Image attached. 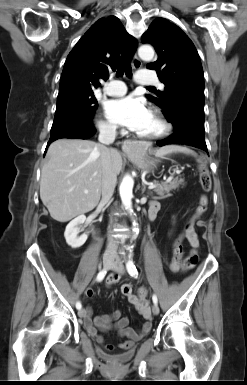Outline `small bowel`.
<instances>
[{
  "label": "small bowel",
  "mask_w": 247,
  "mask_h": 385,
  "mask_svg": "<svg viewBox=\"0 0 247 385\" xmlns=\"http://www.w3.org/2000/svg\"><path fill=\"white\" fill-rule=\"evenodd\" d=\"M160 206L157 202L153 201L149 206V215L150 211H154L157 215ZM201 214L197 212L193 213L189 220L186 223L185 230L183 236L187 238L192 247L193 252L196 253V249L198 248L199 242L196 233L194 232L193 226L196 221H199ZM191 253V254H192ZM193 266H189L185 263L177 264L174 261L170 264V269L177 273L179 271H187L191 269ZM121 279V275L119 273H111L107 279L106 284L108 286H112L118 283ZM128 285L130 288V293L125 296L128 298V301L135 307V309L142 315L144 318V324L140 330H136L129 326V318L126 316H122L121 311L117 310L109 314H100L95 317H92V308L87 307L86 315L84 317V326L87 333L93 337H95L96 341L100 345H104V338L99 335V331L105 332L111 329L116 330L122 337H126L128 340L119 344V348L123 350L130 349L134 342L143 338L152 327V315L149 302L146 298L147 291L144 288L139 289L137 294H133L132 286ZM123 285V286H124ZM87 298H91L94 296V291L88 289L85 292ZM108 349H112V346H107Z\"/></svg>",
  "instance_id": "small-bowel-1"
}]
</instances>
